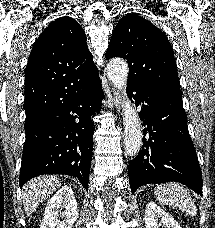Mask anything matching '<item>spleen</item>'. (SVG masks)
Wrapping results in <instances>:
<instances>
[{"instance_id":"obj_1","label":"spleen","mask_w":215,"mask_h":228,"mask_svg":"<svg viewBox=\"0 0 215 228\" xmlns=\"http://www.w3.org/2000/svg\"><path fill=\"white\" fill-rule=\"evenodd\" d=\"M155 196H157L158 202H162L163 206H173V208H179L185 214L189 216H196V206L188 194L186 188L170 182V184H161L156 186L154 190Z\"/></svg>"}]
</instances>
